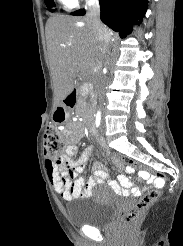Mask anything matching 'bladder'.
Masks as SVG:
<instances>
[{
	"mask_svg": "<svg viewBox=\"0 0 183 246\" xmlns=\"http://www.w3.org/2000/svg\"><path fill=\"white\" fill-rule=\"evenodd\" d=\"M119 202L108 189L102 187L88 201L68 211V218L76 227H107L116 215Z\"/></svg>",
	"mask_w": 183,
	"mask_h": 246,
	"instance_id": "1",
	"label": "bladder"
}]
</instances>
